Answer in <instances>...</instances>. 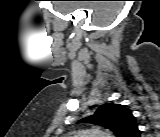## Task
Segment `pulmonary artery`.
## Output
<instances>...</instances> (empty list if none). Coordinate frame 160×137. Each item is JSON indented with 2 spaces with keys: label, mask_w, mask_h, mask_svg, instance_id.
<instances>
[{
  "label": "pulmonary artery",
  "mask_w": 160,
  "mask_h": 137,
  "mask_svg": "<svg viewBox=\"0 0 160 137\" xmlns=\"http://www.w3.org/2000/svg\"><path fill=\"white\" fill-rule=\"evenodd\" d=\"M77 137H105V136L97 131H86V132H82Z\"/></svg>",
  "instance_id": "pulmonary-artery-1"
}]
</instances>
